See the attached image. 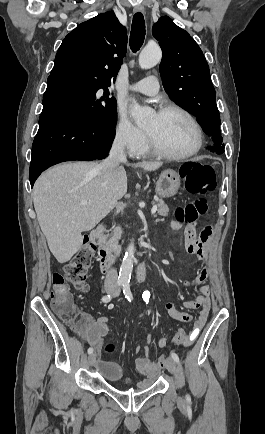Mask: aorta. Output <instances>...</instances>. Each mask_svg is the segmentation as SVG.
<instances>
[{
  "label": "aorta",
  "instance_id": "aorta-1",
  "mask_svg": "<svg viewBox=\"0 0 265 434\" xmlns=\"http://www.w3.org/2000/svg\"><path fill=\"white\" fill-rule=\"evenodd\" d=\"M161 56L162 54L159 46H145L139 56L140 68H142V70L154 68V66L159 64ZM131 116L133 120H135L136 126L142 128V126H146L147 122H149L151 118V110L150 108H142V106H139V104L133 100ZM134 254L135 246L133 240H131V244H129L120 266L119 282H122V284H124V282H130L131 274L133 272Z\"/></svg>",
  "mask_w": 265,
  "mask_h": 434
}]
</instances>
